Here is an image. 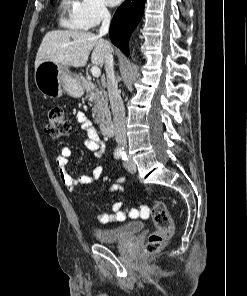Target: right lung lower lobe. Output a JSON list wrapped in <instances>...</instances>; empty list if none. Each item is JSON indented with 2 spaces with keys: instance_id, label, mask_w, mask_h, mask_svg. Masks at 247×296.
<instances>
[{
  "instance_id": "obj_1",
  "label": "right lung lower lobe",
  "mask_w": 247,
  "mask_h": 296,
  "mask_svg": "<svg viewBox=\"0 0 247 296\" xmlns=\"http://www.w3.org/2000/svg\"><path fill=\"white\" fill-rule=\"evenodd\" d=\"M144 3L145 0H126L117 9L111 22L110 39L126 55L129 54V36L143 15Z\"/></svg>"
}]
</instances>
